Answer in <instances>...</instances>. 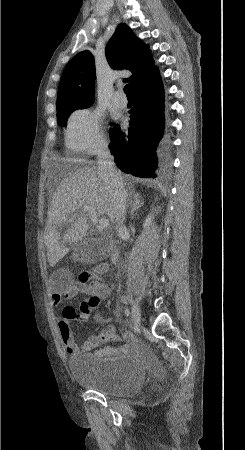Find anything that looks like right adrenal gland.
I'll use <instances>...</instances> for the list:
<instances>
[{
	"mask_svg": "<svg viewBox=\"0 0 245 450\" xmlns=\"http://www.w3.org/2000/svg\"><path fill=\"white\" fill-rule=\"evenodd\" d=\"M129 197L131 198L130 203H129L131 206L130 215L133 218V215L136 212V210H138L140 207L143 206L144 200L141 198L139 193H137L133 190H131L129 192Z\"/></svg>",
	"mask_w": 245,
	"mask_h": 450,
	"instance_id": "right-adrenal-gland-1",
	"label": "right adrenal gland"
}]
</instances>
